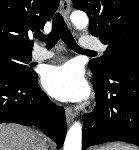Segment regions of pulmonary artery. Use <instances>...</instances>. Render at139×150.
Listing matches in <instances>:
<instances>
[{"mask_svg":"<svg viewBox=\"0 0 139 150\" xmlns=\"http://www.w3.org/2000/svg\"><path fill=\"white\" fill-rule=\"evenodd\" d=\"M80 47L84 50H98L104 52L106 47L100 41L92 37H83L80 41ZM53 53L45 48L37 47L32 52V58L35 60H47L53 57Z\"/></svg>","mask_w":139,"mask_h":150,"instance_id":"obj_1","label":"pulmonary artery"}]
</instances>
